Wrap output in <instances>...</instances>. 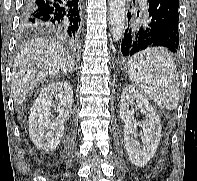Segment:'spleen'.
<instances>
[{"label":"spleen","instance_id":"3e777b00","mask_svg":"<svg viewBox=\"0 0 197 181\" xmlns=\"http://www.w3.org/2000/svg\"><path fill=\"white\" fill-rule=\"evenodd\" d=\"M129 80L157 105L173 110L179 102V76L173 58L161 47L148 48L128 62Z\"/></svg>","mask_w":197,"mask_h":181}]
</instances>
